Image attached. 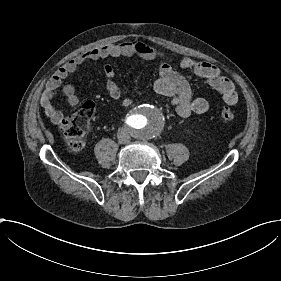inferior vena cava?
I'll list each match as a JSON object with an SVG mask.
<instances>
[{
	"instance_id": "1",
	"label": "inferior vena cava",
	"mask_w": 281,
	"mask_h": 281,
	"mask_svg": "<svg viewBox=\"0 0 281 281\" xmlns=\"http://www.w3.org/2000/svg\"><path fill=\"white\" fill-rule=\"evenodd\" d=\"M117 138L119 143L128 144L130 142V135L125 128H120L117 132Z\"/></svg>"
}]
</instances>
